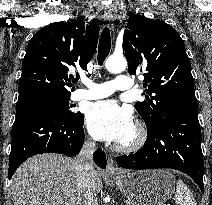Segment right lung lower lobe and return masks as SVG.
Masks as SVG:
<instances>
[{"instance_id":"right-lung-lower-lobe-1","label":"right lung lower lobe","mask_w":212,"mask_h":205,"mask_svg":"<svg viewBox=\"0 0 212 205\" xmlns=\"http://www.w3.org/2000/svg\"><path fill=\"white\" fill-rule=\"evenodd\" d=\"M83 124L84 117L79 121H71L44 108H24L16 111L9 157V179L33 155H77L84 142ZM93 157L99 167H106V157L102 150L98 149Z\"/></svg>"}]
</instances>
